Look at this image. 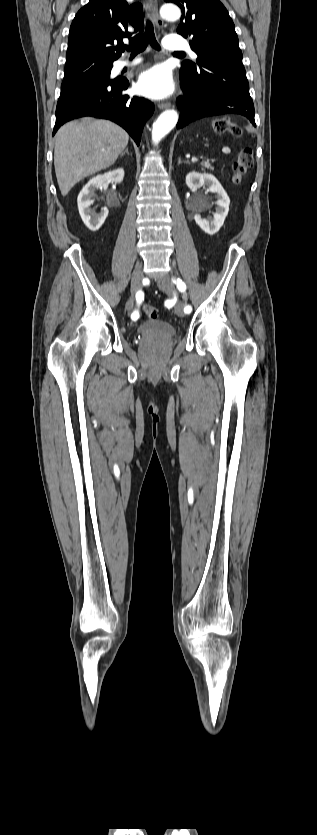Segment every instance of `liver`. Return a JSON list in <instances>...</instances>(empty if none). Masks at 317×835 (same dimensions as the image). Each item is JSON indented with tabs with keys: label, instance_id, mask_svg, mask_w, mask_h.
<instances>
[{
	"label": "liver",
	"instance_id": "obj_1",
	"mask_svg": "<svg viewBox=\"0 0 317 835\" xmlns=\"http://www.w3.org/2000/svg\"><path fill=\"white\" fill-rule=\"evenodd\" d=\"M129 135L117 124L85 118L63 125L56 134L54 166L59 189L66 196L83 178L111 166Z\"/></svg>",
	"mask_w": 317,
	"mask_h": 835
}]
</instances>
